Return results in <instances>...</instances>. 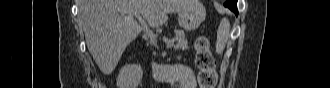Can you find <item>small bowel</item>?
I'll return each instance as SVG.
<instances>
[{"mask_svg":"<svg viewBox=\"0 0 330 88\" xmlns=\"http://www.w3.org/2000/svg\"><path fill=\"white\" fill-rule=\"evenodd\" d=\"M172 81L179 82L181 88H196L193 70L185 65H171L168 70Z\"/></svg>","mask_w":330,"mask_h":88,"instance_id":"1","label":"small bowel"}]
</instances>
